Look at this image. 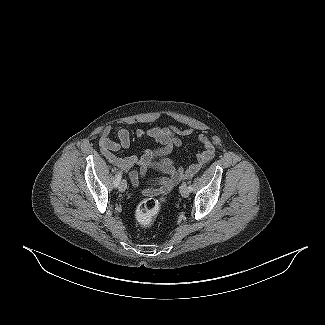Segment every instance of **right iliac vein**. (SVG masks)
Instances as JSON below:
<instances>
[{
  "label": "right iliac vein",
  "instance_id": "right-iliac-vein-1",
  "mask_svg": "<svg viewBox=\"0 0 325 325\" xmlns=\"http://www.w3.org/2000/svg\"><path fill=\"white\" fill-rule=\"evenodd\" d=\"M119 191L124 192L127 189V182L126 180H122L119 184Z\"/></svg>",
  "mask_w": 325,
  "mask_h": 325
}]
</instances>
